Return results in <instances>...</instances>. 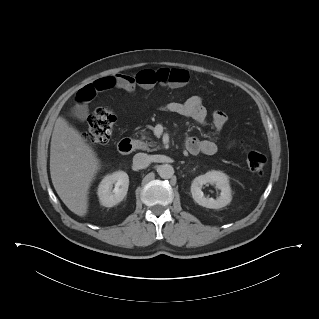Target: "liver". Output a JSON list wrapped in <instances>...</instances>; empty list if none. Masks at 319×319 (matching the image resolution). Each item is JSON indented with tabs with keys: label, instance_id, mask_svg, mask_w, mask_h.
<instances>
[{
	"label": "liver",
	"instance_id": "1",
	"mask_svg": "<svg viewBox=\"0 0 319 319\" xmlns=\"http://www.w3.org/2000/svg\"><path fill=\"white\" fill-rule=\"evenodd\" d=\"M99 167L96 153L81 133L59 117L51 138L50 174L58 196L78 216L87 214L89 188Z\"/></svg>",
	"mask_w": 319,
	"mask_h": 319
}]
</instances>
